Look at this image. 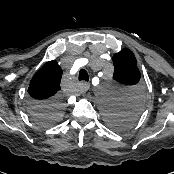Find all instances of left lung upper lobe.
<instances>
[{"mask_svg": "<svg viewBox=\"0 0 174 174\" xmlns=\"http://www.w3.org/2000/svg\"><path fill=\"white\" fill-rule=\"evenodd\" d=\"M114 79L122 84L134 85L140 80V71L134 54L129 49H123L113 56ZM125 106L113 107L106 119L111 127L124 130L129 127L138 115L139 96H129Z\"/></svg>", "mask_w": 174, "mask_h": 174, "instance_id": "1", "label": "left lung upper lobe"}]
</instances>
